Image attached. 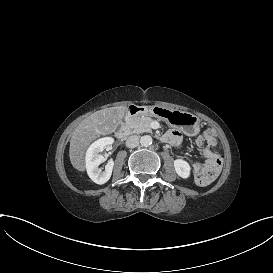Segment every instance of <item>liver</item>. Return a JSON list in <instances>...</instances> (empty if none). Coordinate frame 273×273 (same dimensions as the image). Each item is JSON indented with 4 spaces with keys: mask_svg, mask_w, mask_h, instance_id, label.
Listing matches in <instances>:
<instances>
[{
    "mask_svg": "<svg viewBox=\"0 0 273 273\" xmlns=\"http://www.w3.org/2000/svg\"><path fill=\"white\" fill-rule=\"evenodd\" d=\"M125 116V106L98 110L82 120L71 134L69 159L73 168L86 172L85 154L89 146L101 137L115 133Z\"/></svg>",
    "mask_w": 273,
    "mask_h": 273,
    "instance_id": "liver-1",
    "label": "liver"
}]
</instances>
